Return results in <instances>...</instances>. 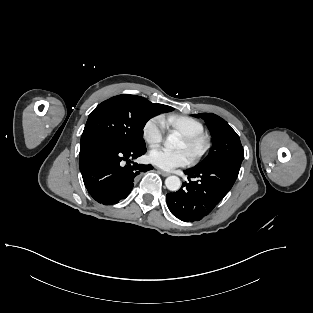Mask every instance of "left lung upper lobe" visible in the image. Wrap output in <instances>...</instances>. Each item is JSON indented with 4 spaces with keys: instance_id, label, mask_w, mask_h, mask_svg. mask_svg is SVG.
Here are the masks:
<instances>
[{
    "instance_id": "left-lung-upper-lobe-1",
    "label": "left lung upper lobe",
    "mask_w": 313,
    "mask_h": 313,
    "mask_svg": "<svg viewBox=\"0 0 313 313\" xmlns=\"http://www.w3.org/2000/svg\"><path fill=\"white\" fill-rule=\"evenodd\" d=\"M193 116L200 117L206 122L213 143L208 156L196 167L222 162L242 163L244 151L240 138L224 119L213 113H200Z\"/></svg>"
}]
</instances>
